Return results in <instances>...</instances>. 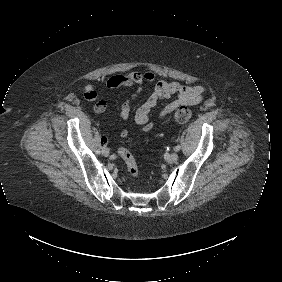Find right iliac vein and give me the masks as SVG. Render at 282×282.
Returning <instances> with one entry per match:
<instances>
[{"label":"right iliac vein","instance_id":"1","mask_svg":"<svg viewBox=\"0 0 282 282\" xmlns=\"http://www.w3.org/2000/svg\"><path fill=\"white\" fill-rule=\"evenodd\" d=\"M102 154L104 155V156H109V150L107 149V148H103L102 149Z\"/></svg>","mask_w":282,"mask_h":282}]
</instances>
